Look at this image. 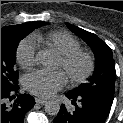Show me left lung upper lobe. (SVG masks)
I'll return each instance as SVG.
<instances>
[{
  "mask_svg": "<svg viewBox=\"0 0 123 123\" xmlns=\"http://www.w3.org/2000/svg\"><path fill=\"white\" fill-rule=\"evenodd\" d=\"M66 25L90 46L96 59L95 71L89 82L70 92L76 94H95L113 99L116 72L111 48L95 34L69 23H66Z\"/></svg>",
  "mask_w": 123,
  "mask_h": 123,
  "instance_id": "left-lung-upper-lobe-1",
  "label": "left lung upper lobe"
}]
</instances>
